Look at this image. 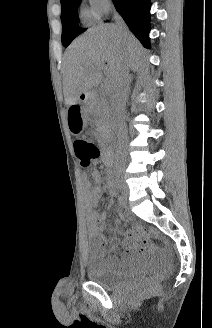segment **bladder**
<instances>
[{"label": "bladder", "mask_w": 212, "mask_h": 328, "mask_svg": "<svg viewBox=\"0 0 212 328\" xmlns=\"http://www.w3.org/2000/svg\"><path fill=\"white\" fill-rule=\"evenodd\" d=\"M87 275L89 279L106 290H118L139 282L143 277L141 263H136L127 273H118L107 267L106 261L91 260Z\"/></svg>", "instance_id": "obj_1"}]
</instances>
